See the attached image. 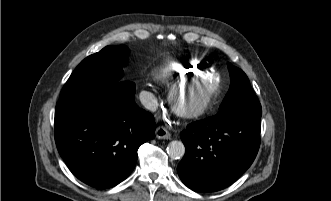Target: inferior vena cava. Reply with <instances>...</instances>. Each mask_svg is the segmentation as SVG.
Segmentation results:
<instances>
[{
	"mask_svg": "<svg viewBox=\"0 0 331 201\" xmlns=\"http://www.w3.org/2000/svg\"><path fill=\"white\" fill-rule=\"evenodd\" d=\"M140 101L143 104V106L150 111H156L158 107L157 98L150 92H146V91L141 92Z\"/></svg>",
	"mask_w": 331,
	"mask_h": 201,
	"instance_id": "obj_1",
	"label": "inferior vena cava"
}]
</instances>
